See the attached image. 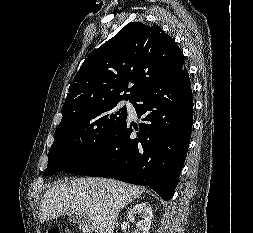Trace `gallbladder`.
<instances>
[{
  "label": "gallbladder",
  "instance_id": "gallbladder-1",
  "mask_svg": "<svg viewBox=\"0 0 253 233\" xmlns=\"http://www.w3.org/2000/svg\"><path fill=\"white\" fill-rule=\"evenodd\" d=\"M72 221H73V222L80 223V224H81V223L86 222V220H84V219H80V218H79V219H76V220H75V219H73Z\"/></svg>",
  "mask_w": 253,
  "mask_h": 233
}]
</instances>
